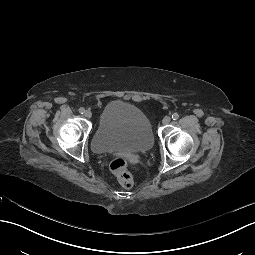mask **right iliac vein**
Here are the masks:
<instances>
[{"label":"right iliac vein","mask_w":255,"mask_h":255,"mask_svg":"<svg viewBox=\"0 0 255 255\" xmlns=\"http://www.w3.org/2000/svg\"><path fill=\"white\" fill-rule=\"evenodd\" d=\"M84 116H85L86 118H91L92 112H91L90 110H86L85 113H84Z\"/></svg>","instance_id":"right-iliac-vein-1"}]
</instances>
